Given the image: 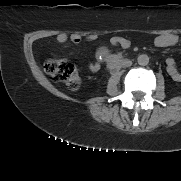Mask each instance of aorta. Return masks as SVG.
Instances as JSON below:
<instances>
[{"label":"aorta","instance_id":"1","mask_svg":"<svg viewBox=\"0 0 181 181\" xmlns=\"http://www.w3.org/2000/svg\"><path fill=\"white\" fill-rule=\"evenodd\" d=\"M137 62L140 66H146L149 63V57L146 54H141L137 58Z\"/></svg>","mask_w":181,"mask_h":181}]
</instances>
